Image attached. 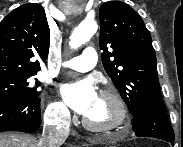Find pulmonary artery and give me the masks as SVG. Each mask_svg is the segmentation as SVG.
<instances>
[{
	"label": "pulmonary artery",
	"instance_id": "1",
	"mask_svg": "<svg viewBox=\"0 0 183 147\" xmlns=\"http://www.w3.org/2000/svg\"><path fill=\"white\" fill-rule=\"evenodd\" d=\"M97 59L96 50L92 47H87L80 56L64 61L62 66L79 72H87L96 65Z\"/></svg>",
	"mask_w": 183,
	"mask_h": 147
}]
</instances>
